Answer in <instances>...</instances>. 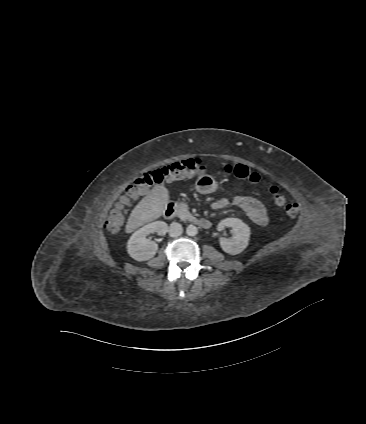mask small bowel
Listing matches in <instances>:
<instances>
[{"label": "small bowel", "mask_w": 366, "mask_h": 424, "mask_svg": "<svg viewBox=\"0 0 366 424\" xmlns=\"http://www.w3.org/2000/svg\"><path fill=\"white\" fill-rule=\"evenodd\" d=\"M240 207L252 222L259 226H265L269 222L267 210L265 206L256 198L247 195H239L233 199L221 198L216 200L212 207L216 210L224 209L230 204Z\"/></svg>", "instance_id": "1"}]
</instances>
